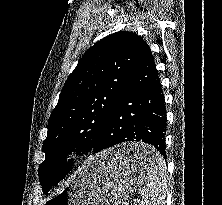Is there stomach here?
I'll list each match as a JSON object with an SVG mask.
<instances>
[{
    "instance_id": "stomach-1",
    "label": "stomach",
    "mask_w": 222,
    "mask_h": 205,
    "mask_svg": "<svg viewBox=\"0 0 222 205\" xmlns=\"http://www.w3.org/2000/svg\"><path fill=\"white\" fill-rule=\"evenodd\" d=\"M136 151L157 154L153 147L138 142L103 151L88 158L68 184L41 205H119L148 177L149 165L128 162Z\"/></svg>"
}]
</instances>
